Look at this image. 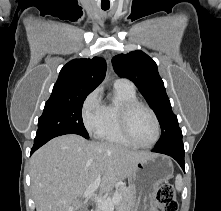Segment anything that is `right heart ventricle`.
I'll return each instance as SVG.
<instances>
[{"mask_svg": "<svg viewBox=\"0 0 221 211\" xmlns=\"http://www.w3.org/2000/svg\"><path fill=\"white\" fill-rule=\"evenodd\" d=\"M115 94L119 100L118 104L109 103L105 105V122L103 128L97 134L98 137L106 142L131 146L123 136L120 128L119 109L120 106L128 101L137 100L135 89L124 87H114Z\"/></svg>", "mask_w": 221, "mask_h": 211, "instance_id": "e07e8e85", "label": "right heart ventricle"}]
</instances>
